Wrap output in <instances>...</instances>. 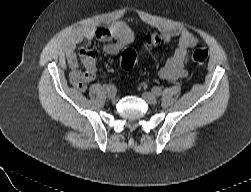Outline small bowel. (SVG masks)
I'll return each mask as SVG.
<instances>
[{
    "instance_id": "1",
    "label": "small bowel",
    "mask_w": 251,
    "mask_h": 192,
    "mask_svg": "<svg viewBox=\"0 0 251 192\" xmlns=\"http://www.w3.org/2000/svg\"><path fill=\"white\" fill-rule=\"evenodd\" d=\"M163 34L166 38H178V46L165 65L159 70L161 79L174 82L187 76L186 65L189 51L199 43V39L185 28H165ZM84 39L99 40L104 42L103 51L109 55H116L133 39L131 27L125 23H117L110 27H101L90 31H78L73 33L65 42L64 50L70 67L69 79L78 90L84 91L87 85L94 79L97 66L96 57L91 47L84 48L80 52L81 61L85 67L80 69L75 47Z\"/></svg>"
}]
</instances>
